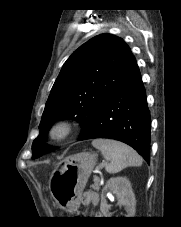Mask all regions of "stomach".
<instances>
[{"label": "stomach", "mask_w": 181, "mask_h": 227, "mask_svg": "<svg viewBox=\"0 0 181 227\" xmlns=\"http://www.w3.org/2000/svg\"><path fill=\"white\" fill-rule=\"evenodd\" d=\"M96 154L81 152L61 161L49 178V190L55 202L68 212H75L91 171Z\"/></svg>", "instance_id": "1"}]
</instances>
